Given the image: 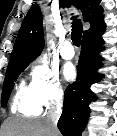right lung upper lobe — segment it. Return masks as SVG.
<instances>
[{"label": "right lung upper lobe", "instance_id": "1", "mask_svg": "<svg viewBox=\"0 0 117 136\" xmlns=\"http://www.w3.org/2000/svg\"><path fill=\"white\" fill-rule=\"evenodd\" d=\"M70 3L78 6L83 20L90 23L83 37L90 35L105 27L103 22V8L99 6L100 0H60L62 7ZM43 17L37 4L32 5L24 17L18 32L9 64L22 60H33L38 57L44 48Z\"/></svg>", "mask_w": 117, "mask_h": 136}]
</instances>
